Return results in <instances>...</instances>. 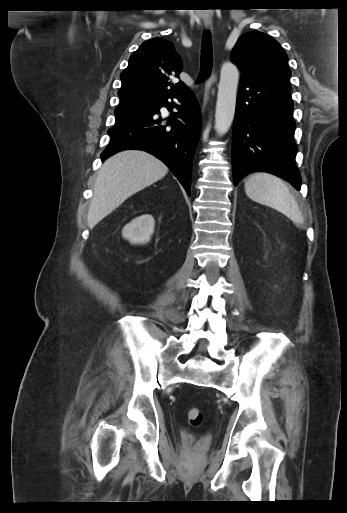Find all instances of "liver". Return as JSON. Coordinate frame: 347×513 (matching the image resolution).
<instances>
[{"mask_svg":"<svg viewBox=\"0 0 347 513\" xmlns=\"http://www.w3.org/2000/svg\"><path fill=\"white\" fill-rule=\"evenodd\" d=\"M167 166L141 150H124L108 158L100 168L88 212L93 228L127 198L162 179Z\"/></svg>","mask_w":347,"mask_h":513,"instance_id":"6515ba94","label":"liver"}]
</instances>
